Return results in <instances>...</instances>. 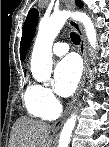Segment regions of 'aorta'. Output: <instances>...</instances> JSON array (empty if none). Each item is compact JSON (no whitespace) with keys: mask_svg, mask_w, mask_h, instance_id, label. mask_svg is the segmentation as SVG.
Wrapping results in <instances>:
<instances>
[{"mask_svg":"<svg viewBox=\"0 0 109 147\" xmlns=\"http://www.w3.org/2000/svg\"><path fill=\"white\" fill-rule=\"evenodd\" d=\"M69 17L81 22L85 28L88 42L92 48L97 46L96 30L91 18L83 12L68 10L53 13L49 18L42 19L31 57V72L39 82L50 80L52 73V45ZM76 114H72L64 124L58 147H68L73 129L76 124Z\"/></svg>","mask_w":109,"mask_h":147,"instance_id":"762f6f07","label":"aorta"}]
</instances>
